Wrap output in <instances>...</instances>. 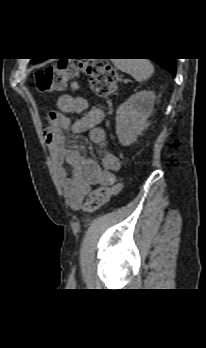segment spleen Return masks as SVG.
<instances>
[{"mask_svg": "<svg viewBox=\"0 0 206 348\" xmlns=\"http://www.w3.org/2000/svg\"><path fill=\"white\" fill-rule=\"evenodd\" d=\"M112 62L137 81L147 80L154 72V66L148 59H113Z\"/></svg>", "mask_w": 206, "mask_h": 348, "instance_id": "obj_1", "label": "spleen"}]
</instances>
